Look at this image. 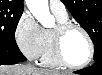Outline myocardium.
Here are the masks:
<instances>
[{"label":"myocardium","instance_id":"1","mask_svg":"<svg viewBox=\"0 0 102 75\" xmlns=\"http://www.w3.org/2000/svg\"><path fill=\"white\" fill-rule=\"evenodd\" d=\"M73 29H77L81 31L84 36L87 39L88 45H89V54L86 61H84L82 64L75 65L71 63L64 55L63 52V40L64 37ZM51 41H52V52L54 59L58 62L59 65L65 66V67H71V68H79L87 65L94 56V44L93 41L89 35V33L86 31L85 28H83L81 25L72 22V21H66L63 23H57V25L52 30L51 34Z\"/></svg>","mask_w":102,"mask_h":75}]
</instances>
